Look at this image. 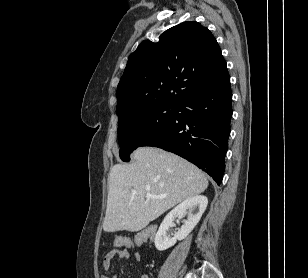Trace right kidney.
<instances>
[{
    "label": "right kidney",
    "instance_id": "1",
    "mask_svg": "<svg viewBox=\"0 0 308 278\" xmlns=\"http://www.w3.org/2000/svg\"><path fill=\"white\" fill-rule=\"evenodd\" d=\"M208 204L207 197L203 195L192 197L176 206L170 211L164 220L162 221L156 235H155V247L159 251H164L177 242V240H183L194 229L197 223L200 221L204 211ZM188 210V218L184 221L181 228L175 233L174 237H169L167 231L173 226L175 218H182Z\"/></svg>",
    "mask_w": 308,
    "mask_h": 278
}]
</instances>
